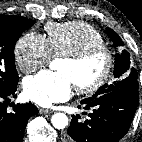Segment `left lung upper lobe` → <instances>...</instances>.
Returning a JSON list of instances; mask_svg holds the SVG:
<instances>
[{"instance_id":"left-lung-upper-lobe-1","label":"left lung upper lobe","mask_w":142,"mask_h":142,"mask_svg":"<svg viewBox=\"0 0 142 142\" xmlns=\"http://www.w3.org/2000/svg\"><path fill=\"white\" fill-rule=\"evenodd\" d=\"M106 32L109 38L113 41L115 47L123 46V41L114 30L106 28ZM113 74L116 78L115 81L112 84H104L101 86L91 98H96L127 86L135 85L139 87L137 71L131 66L130 54L126 50L115 55Z\"/></svg>"}]
</instances>
